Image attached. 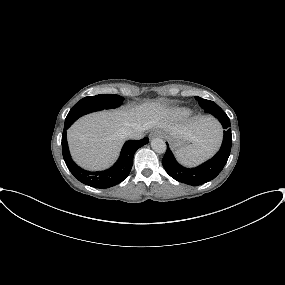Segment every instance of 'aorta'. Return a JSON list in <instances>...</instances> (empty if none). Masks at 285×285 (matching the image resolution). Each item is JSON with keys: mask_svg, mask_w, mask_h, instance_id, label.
<instances>
[{"mask_svg": "<svg viewBox=\"0 0 285 285\" xmlns=\"http://www.w3.org/2000/svg\"><path fill=\"white\" fill-rule=\"evenodd\" d=\"M152 149L157 153H165L166 152V143L161 138H154L151 141Z\"/></svg>", "mask_w": 285, "mask_h": 285, "instance_id": "aorta-1", "label": "aorta"}]
</instances>
